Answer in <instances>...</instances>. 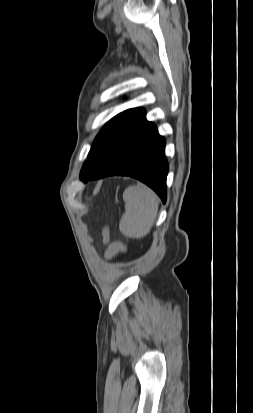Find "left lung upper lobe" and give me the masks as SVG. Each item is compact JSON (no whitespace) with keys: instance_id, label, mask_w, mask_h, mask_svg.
Listing matches in <instances>:
<instances>
[{"instance_id":"1","label":"left lung upper lobe","mask_w":253,"mask_h":413,"mask_svg":"<svg viewBox=\"0 0 253 413\" xmlns=\"http://www.w3.org/2000/svg\"><path fill=\"white\" fill-rule=\"evenodd\" d=\"M144 112L142 108L126 110L112 118L96 136L88 161L85 162L80 176L84 180L87 176L96 172L112 155L122 135L121 124L131 121Z\"/></svg>"}]
</instances>
